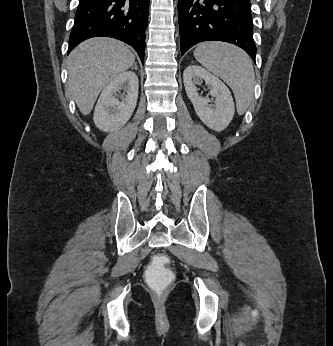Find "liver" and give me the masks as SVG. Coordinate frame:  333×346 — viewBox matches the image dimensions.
<instances>
[{
  "label": "liver",
  "instance_id": "obj_1",
  "mask_svg": "<svg viewBox=\"0 0 333 346\" xmlns=\"http://www.w3.org/2000/svg\"><path fill=\"white\" fill-rule=\"evenodd\" d=\"M135 63L127 45L95 37L78 45L68 56V87L77 107L88 115L101 90Z\"/></svg>",
  "mask_w": 333,
  "mask_h": 346
}]
</instances>
